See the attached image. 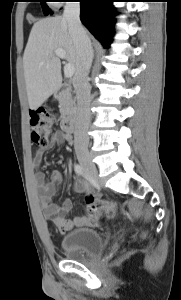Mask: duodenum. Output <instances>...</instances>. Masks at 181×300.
<instances>
[{
  "label": "duodenum",
  "mask_w": 181,
  "mask_h": 300,
  "mask_svg": "<svg viewBox=\"0 0 181 300\" xmlns=\"http://www.w3.org/2000/svg\"><path fill=\"white\" fill-rule=\"evenodd\" d=\"M67 84H62L61 86H59L58 88L55 89V91L53 92V98H58L62 92L67 88ZM62 127L63 130L68 133V134H72L75 131V119L73 115H67L65 116V118L62 121Z\"/></svg>",
  "instance_id": "410a0bca"
}]
</instances>
